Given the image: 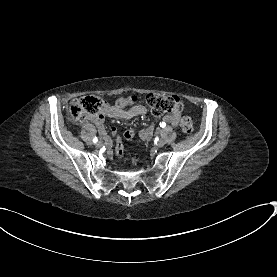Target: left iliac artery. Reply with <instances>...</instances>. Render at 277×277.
Instances as JSON below:
<instances>
[{
	"instance_id": "1",
	"label": "left iliac artery",
	"mask_w": 277,
	"mask_h": 277,
	"mask_svg": "<svg viewBox=\"0 0 277 277\" xmlns=\"http://www.w3.org/2000/svg\"><path fill=\"white\" fill-rule=\"evenodd\" d=\"M160 126H161L162 128H164V127L166 126V123H165V122H161V123H160Z\"/></svg>"
}]
</instances>
